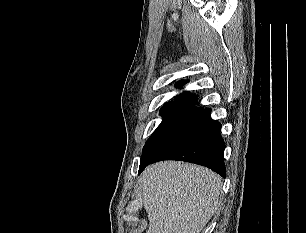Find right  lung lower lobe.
Returning a JSON list of instances; mask_svg holds the SVG:
<instances>
[{
	"label": "right lung lower lobe",
	"mask_w": 306,
	"mask_h": 233,
	"mask_svg": "<svg viewBox=\"0 0 306 233\" xmlns=\"http://www.w3.org/2000/svg\"><path fill=\"white\" fill-rule=\"evenodd\" d=\"M210 113L211 109H205L154 158L140 165L139 174L148 164L162 160H182L203 165L226 177L221 124L212 120Z\"/></svg>",
	"instance_id": "98d812e1"
}]
</instances>
